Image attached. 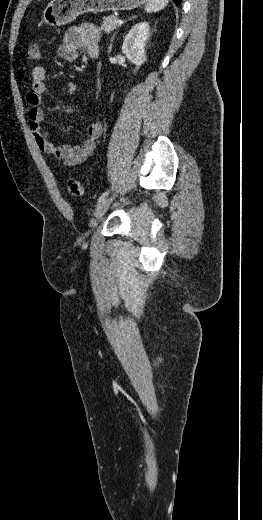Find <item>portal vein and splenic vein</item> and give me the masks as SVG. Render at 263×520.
Segmentation results:
<instances>
[{
    "label": "portal vein and splenic vein",
    "instance_id": "1",
    "mask_svg": "<svg viewBox=\"0 0 263 520\" xmlns=\"http://www.w3.org/2000/svg\"><path fill=\"white\" fill-rule=\"evenodd\" d=\"M116 23H117V24H122V23H123V20H122V19H118V20L116 21Z\"/></svg>",
    "mask_w": 263,
    "mask_h": 520
}]
</instances>
